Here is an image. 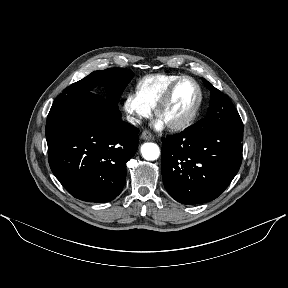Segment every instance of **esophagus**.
<instances>
[{
    "mask_svg": "<svg viewBox=\"0 0 288 288\" xmlns=\"http://www.w3.org/2000/svg\"><path fill=\"white\" fill-rule=\"evenodd\" d=\"M141 138L144 140H153L154 136L152 135V133L150 131L145 130L142 132Z\"/></svg>",
    "mask_w": 288,
    "mask_h": 288,
    "instance_id": "esophagus-1",
    "label": "esophagus"
}]
</instances>
